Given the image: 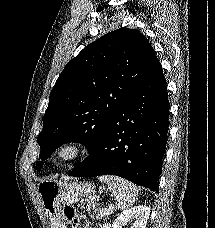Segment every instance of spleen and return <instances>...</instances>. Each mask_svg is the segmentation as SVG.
I'll use <instances>...</instances> for the list:
<instances>
[{"instance_id":"spleen-1","label":"spleen","mask_w":215,"mask_h":228,"mask_svg":"<svg viewBox=\"0 0 215 228\" xmlns=\"http://www.w3.org/2000/svg\"><path fill=\"white\" fill-rule=\"evenodd\" d=\"M98 180L105 182L111 190L116 200L117 210H127L137 200L139 190L128 180H123L118 176H99Z\"/></svg>"}]
</instances>
